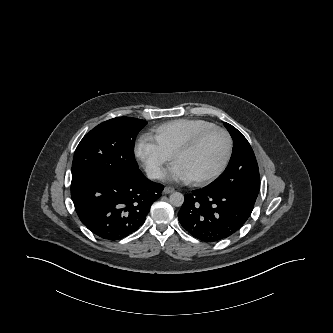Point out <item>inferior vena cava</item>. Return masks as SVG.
<instances>
[{
  "label": "inferior vena cava",
  "mask_w": 333,
  "mask_h": 333,
  "mask_svg": "<svg viewBox=\"0 0 333 333\" xmlns=\"http://www.w3.org/2000/svg\"><path fill=\"white\" fill-rule=\"evenodd\" d=\"M145 171L149 179H162L164 177V172L158 166L147 167Z\"/></svg>",
  "instance_id": "1"
}]
</instances>
